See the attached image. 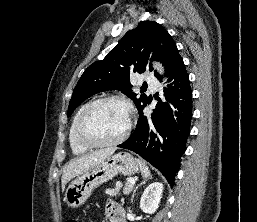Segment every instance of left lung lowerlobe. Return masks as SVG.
Masks as SVG:
<instances>
[{
    "instance_id": "left-lung-lower-lobe-1",
    "label": "left lung lower lobe",
    "mask_w": 257,
    "mask_h": 222,
    "mask_svg": "<svg viewBox=\"0 0 257 222\" xmlns=\"http://www.w3.org/2000/svg\"><path fill=\"white\" fill-rule=\"evenodd\" d=\"M166 76L170 82L164 89L166 101L159 99L150 118L143 115L142 108L135 131L118 147L139 154L173 186L190 134L192 90L182 58L174 63Z\"/></svg>"
}]
</instances>
